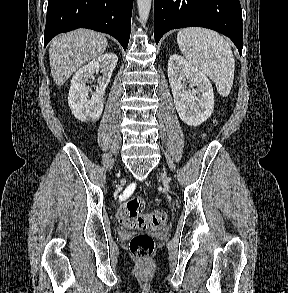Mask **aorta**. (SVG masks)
I'll list each match as a JSON object with an SVG mask.
<instances>
[{
    "instance_id": "aorta-1",
    "label": "aorta",
    "mask_w": 288,
    "mask_h": 293,
    "mask_svg": "<svg viewBox=\"0 0 288 293\" xmlns=\"http://www.w3.org/2000/svg\"><path fill=\"white\" fill-rule=\"evenodd\" d=\"M152 0H137L138 13L141 23L145 25L151 10Z\"/></svg>"
}]
</instances>
